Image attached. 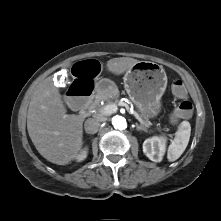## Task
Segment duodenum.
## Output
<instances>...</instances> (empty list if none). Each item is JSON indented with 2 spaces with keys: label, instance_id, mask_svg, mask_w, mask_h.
<instances>
[{
  "label": "duodenum",
  "instance_id": "1",
  "mask_svg": "<svg viewBox=\"0 0 221 221\" xmlns=\"http://www.w3.org/2000/svg\"><path fill=\"white\" fill-rule=\"evenodd\" d=\"M90 101H88V104H87V106L84 109H81V114L87 115L90 112V106H89V102Z\"/></svg>",
  "mask_w": 221,
  "mask_h": 221
}]
</instances>
